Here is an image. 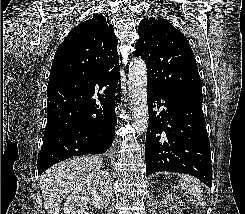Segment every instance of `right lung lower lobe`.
Listing matches in <instances>:
<instances>
[{"instance_id":"1","label":"right lung lower lobe","mask_w":245,"mask_h":214,"mask_svg":"<svg viewBox=\"0 0 245 214\" xmlns=\"http://www.w3.org/2000/svg\"><path fill=\"white\" fill-rule=\"evenodd\" d=\"M94 94L99 96L100 103L92 98ZM120 102L119 72L100 75L94 89L81 99L72 100L62 94L48 96V119L38 154V173L67 158L108 150L117 124L115 107Z\"/></svg>"}]
</instances>
